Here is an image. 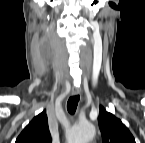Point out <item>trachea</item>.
Returning a JSON list of instances; mask_svg holds the SVG:
<instances>
[{
	"label": "trachea",
	"instance_id": "3493384b",
	"mask_svg": "<svg viewBox=\"0 0 145 143\" xmlns=\"http://www.w3.org/2000/svg\"><path fill=\"white\" fill-rule=\"evenodd\" d=\"M79 99H80L79 95H74L69 98L67 102V110L71 115L75 113Z\"/></svg>",
	"mask_w": 145,
	"mask_h": 143
}]
</instances>
